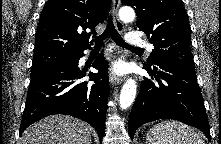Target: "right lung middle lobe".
Here are the masks:
<instances>
[{
  "label": "right lung middle lobe",
  "instance_id": "dd1d6c3e",
  "mask_svg": "<svg viewBox=\"0 0 221 144\" xmlns=\"http://www.w3.org/2000/svg\"><path fill=\"white\" fill-rule=\"evenodd\" d=\"M76 54L61 52H43L34 54L31 77L41 74L50 68L64 64L75 57Z\"/></svg>",
  "mask_w": 221,
  "mask_h": 144
}]
</instances>
